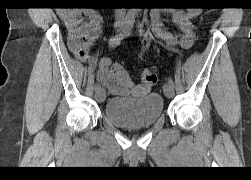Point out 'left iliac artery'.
Listing matches in <instances>:
<instances>
[{
  "label": "left iliac artery",
  "mask_w": 251,
  "mask_h": 180,
  "mask_svg": "<svg viewBox=\"0 0 251 180\" xmlns=\"http://www.w3.org/2000/svg\"><path fill=\"white\" fill-rule=\"evenodd\" d=\"M138 31L140 33L141 36H143L145 39H149V37L151 36V32L148 29L147 31H145L143 29V25L142 24H138ZM168 83L171 84L172 86H174V82L171 78H168Z\"/></svg>",
  "instance_id": "obj_1"
}]
</instances>
